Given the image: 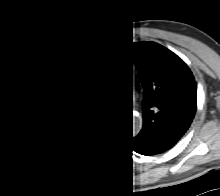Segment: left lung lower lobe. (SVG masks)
<instances>
[{
	"label": "left lung lower lobe",
	"instance_id": "0a47b994",
	"mask_svg": "<svg viewBox=\"0 0 220 196\" xmlns=\"http://www.w3.org/2000/svg\"><path fill=\"white\" fill-rule=\"evenodd\" d=\"M130 141L136 145L138 150L144 155L161 153L166 150V148L156 144L151 139L142 134H139L137 137H131Z\"/></svg>",
	"mask_w": 220,
	"mask_h": 196
}]
</instances>
